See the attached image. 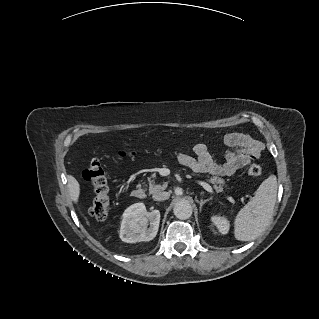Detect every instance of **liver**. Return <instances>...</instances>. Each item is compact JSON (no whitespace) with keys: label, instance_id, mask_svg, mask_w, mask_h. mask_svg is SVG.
<instances>
[{"label":"liver","instance_id":"1","mask_svg":"<svg viewBox=\"0 0 319 319\" xmlns=\"http://www.w3.org/2000/svg\"><path fill=\"white\" fill-rule=\"evenodd\" d=\"M68 186H69V191H70L71 197H72L73 201L77 204L78 199H79V195H80V185H79L78 181L73 176H69ZM85 219L87 220V223L89 224L88 219L86 217H85Z\"/></svg>","mask_w":319,"mask_h":319}]
</instances>
